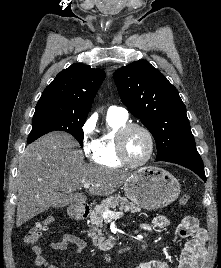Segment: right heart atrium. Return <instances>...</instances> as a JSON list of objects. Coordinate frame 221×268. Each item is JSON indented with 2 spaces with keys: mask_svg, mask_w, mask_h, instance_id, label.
Wrapping results in <instances>:
<instances>
[{
  "mask_svg": "<svg viewBox=\"0 0 221 268\" xmlns=\"http://www.w3.org/2000/svg\"><path fill=\"white\" fill-rule=\"evenodd\" d=\"M96 122L93 117L88 118L81 128L82 149L86 157L93 160L97 141L94 138Z\"/></svg>",
  "mask_w": 221,
  "mask_h": 268,
  "instance_id": "right-heart-atrium-1",
  "label": "right heart atrium"
}]
</instances>
